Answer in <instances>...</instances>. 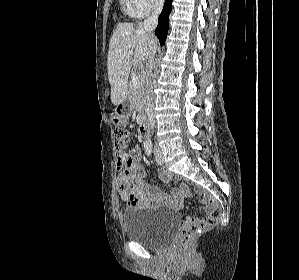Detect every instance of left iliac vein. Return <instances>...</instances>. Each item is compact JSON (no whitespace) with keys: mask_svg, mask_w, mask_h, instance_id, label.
<instances>
[{"mask_svg":"<svg viewBox=\"0 0 299 280\" xmlns=\"http://www.w3.org/2000/svg\"><path fill=\"white\" fill-rule=\"evenodd\" d=\"M155 160L159 165H162L164 163V157L160 149H156L155 151Z\"/></svg>","mask_w":299,"mask_h":280,"instance_id":"obj_1","label":"left iliac vein"}]
</instances>
